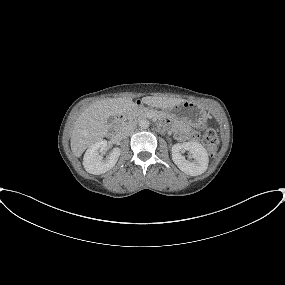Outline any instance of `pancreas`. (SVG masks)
I'll list each match as a JSON object with an SVG mask.
<instances>
[{
  "label": "pancreas",
  "instance_id": "cf45deb5",
  "mask_svg": "<svg viewBox=\"0 0 285 285\" xmlns=\"http://www.w3.org/2000/svg\"><path fill=\"white\" fill-rule=\"evenodd\" d=\"M148 115H153V116H156L157 118L164 117L162 113L151 111L145 108H135L127 115V117L132 120V119H137L140 117H146Z\"/></svg>",
  "mask_w": 285,
  "mask_h": 285
}]
</instances>
